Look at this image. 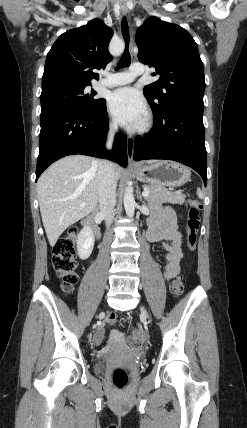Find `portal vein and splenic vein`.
Returning <instances> with one entry per match:
<instances>
[{
	"instance_id": "1",
	"label": "portal vein and splenic vein",
	"mask_w": 247,
	"mask_h": 428,
	"mask_svg": "<svg viewBox=\"0 0 247 428\" xmlns=\"http://www.w3.org/2000/svg\"><path fill=\"white\" fill-rule=\"evenodd\" d=\"M149 195V191L148 190H144L143 192H142V196H144V197H146V196H148ZM86 204L85 203H81L80 204V206L81 207H83V206H85Z\"/></svg>"
}]
</instances>
